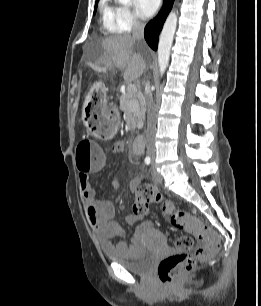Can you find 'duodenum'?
Masks as SVG:
<instances>
[{
    "instance_id": "1",
    "label": "duodenum",
    "mask_w": 261,
    "mask_h": 306,
    "mask_svg": "<svg viewBox=\"0 0 261 306\" xmlns=\"http://www.w3.org/2000/svg\"><path fill=\"white\" fill-rule=\"evenodd\" d=\"M145 146V137L144 135H139L132 142L133 152L136 154L141 153L144 150Z\"/></svg>"
}]
</instances>
